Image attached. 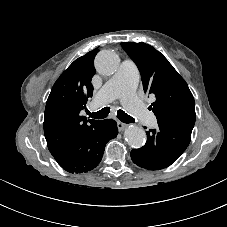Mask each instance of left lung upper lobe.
Segmentation results:
<instances>
[{
  "label": "left lung upper lobe",
  "instance_id": "1",
  "mask_svg": "<svg viewBox=\"0 0 227 227\" xmlns=\"http://www.w3.org/2000/svg\"><path fill=\"white\" fill-rule=\"evenodd\" d=\"M125 52L136 63L145 92L156 101L149 108L158 123L192 133L196 114L193 95L174 67L162 53L145 43L123 42Z\"/></svg>",
  "mask_w": 227,
  "mask_h": 227
}]
</instances>
